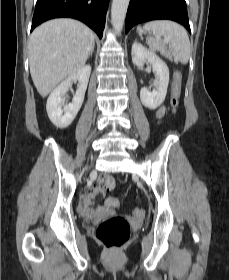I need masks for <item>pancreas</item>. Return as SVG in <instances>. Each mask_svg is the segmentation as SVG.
Returning <instances> with one entry per match:
<instances>
[{
    "label": "pancreas",
    "instance_id": "pancreas-1",
    "mask_svg": "<svg viewBox=\"0 0 229 280\" xmlns=\"http://www.w3.org/2000/svg\"><path fill=\"white\" fill-rule=\"evenodd\" d=\"M164 56L167 57L169 60L172 61V56L169 53H164Z\"/></svg>",
    "mask_w": 229,
    "mask_h": 280
}]
</instances>
